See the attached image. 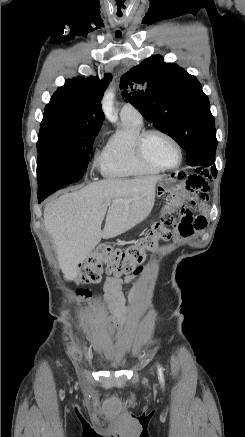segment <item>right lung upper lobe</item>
Wrapping results in <instances>:
<instances>
[{
    "label": "right lung upper lobe",
    "mask_w": 245,
    "mask_h": 437,
    "mask_svg": "<svg viewBox=\"0 0 245 437\" xmlns=\"http://www.w3.org/2000/svg\"><path fill=\"white\" fill-rule=\"evenodd\" d=\"M111 79V75H105L102 80L97 76L67 80L65 85L53 94L45 111H59L86 122L102 125L104 114L101 99Z\"/></svg>",
    "instance_id": "right-lung-upper-lobe-1"
}]
</instances>
